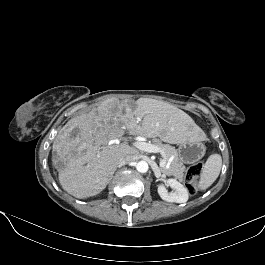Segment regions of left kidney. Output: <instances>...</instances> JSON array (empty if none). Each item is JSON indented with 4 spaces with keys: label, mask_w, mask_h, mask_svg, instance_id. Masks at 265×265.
Segmentation results:
<instances>
[{
    "label": "left kidney",
    "mask_w": 265,
    "mask_h": 265,
    "mask_svg": "<svg viewBox=\"0 0 265 265\" xmlns=\"http://www.w3.org/2000/svg\"><path fill=\"white\" fill-rule=\"evenodd\" d=\"M166 184L170 186L174 191L168 193L164 185L158 187V193L160 197L167 202L185 203L188 201L189 192L188 189L183 186L176 179L165 180Z\"/></svg>",
    "instance_id": "1"
}]
</instances>
